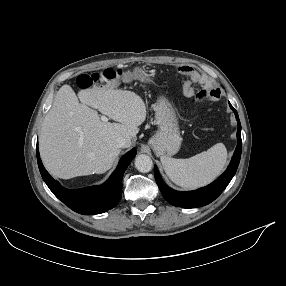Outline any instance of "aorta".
I'll use <instances>...</instances> for the list:
<instances>
[{
    "instance_id": "762f6f07",
    "label": "aorta",
    "mask_w": 286,
    "mask_h": 286,
    "mask_svg": "<svg viewBox=\"0 0 286 286\" xmlns=\"http://www.w3.org/2000/svg\"><path fill=\"white\" fill-rule=\"evenodd\" d=\"M135 167L139 172L147 173L153 167L152 159L145 154H140L135 158Z\"/></svg>"
}]
</instances>
